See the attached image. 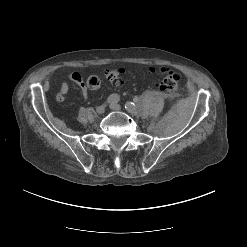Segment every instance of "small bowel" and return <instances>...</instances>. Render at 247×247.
I'll return each instance as SVG.
<instances>
[{"instance_id":"1","label":"small bowel","mask_w":247,"mask_h":247,"mask_svg":"<svg viewBox=\"0 0 247 247\" xmlns=\"http://www.w3.org/2000/svg\"><path fill=\"white\" fill-rule=\"evenodd\" d=\"M118 74V76H120V74L124 73V70L123 69H118V70H115ZM67 79L73 83H75L76 85H78L82 91V95L84 98H87L88 97V91H87V86L84 82V79L83 77L78 73V72H73V73H70L67 75ZM121 84V80H120V77H119V80H117L115 82V85H120ZM68 90H69V85L66 81L62 82L61 86H60V89H59V92L57 93L56 95V100L59 101V102H62L65 100V97L68 93Z\"/></svg>"}]
</instances>
